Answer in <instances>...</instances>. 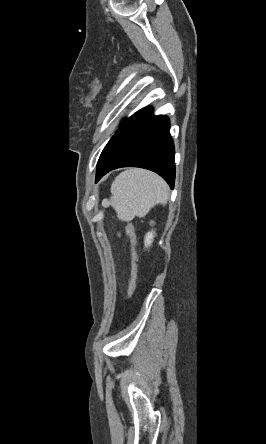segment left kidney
<instances>
[{"label": "left kidney", "mask_w": 266, "mask_h": 444, "mask_svg": "<svg viewBox=\"0 0 266 444\" xmlns=\"http://www.w3.org/2000/svg\"><path fill=\"white\" fill-rule=\"evenodd\" d=\"M154 237H155V232H154L153 230L150 231V232H148V233L145 235V238H144V245H145L146 248H148V247L151 246Z\"/></svg>", "instance_id": "obj_1"}]
</instances>
